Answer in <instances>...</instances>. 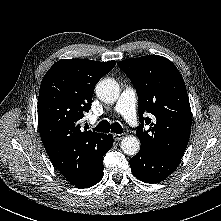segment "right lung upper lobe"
<instances>
[{
    "label": "right lung upper lobe",
    "instance_id": "cb5924a9",
    "mask_svg": "<svg viewBox=\"0 0 221 221\" xmlns=\"http://www.w3.org/2000/svg\"><path fill=\"white\" fill-rule=\"evenodd\" d=\"M115 61L62 59L45 74L38 98V124L45 150L59 172L73 185L99 164L107 135L81 130L80 119L91 108L96 83Z\"/></svg>",
    "mask_w": 221,
    "mask_h": 221
}]
</instances>
